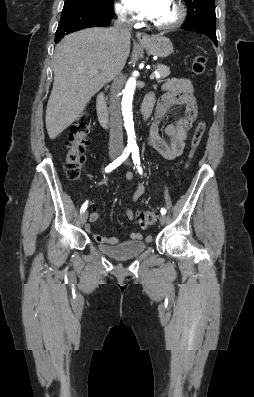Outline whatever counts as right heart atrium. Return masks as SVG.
<instances>
[{
	"instance_id": "d8ad5b80",
	"label": "right heart atrium",
	"mask_w": 254,
	"mask_h": 397,
	"mask_svg": "<svg viewBox=\"0 0 254 397\" xmlns=\"http://www.w3.org/2000/svg\"><path fill=\"white\" fill-rule=\"evenodd\" d=\"M115 9L120 20L128 23L136 20V17L122 3H117Z\"/></svg>"
}]
</instances>
